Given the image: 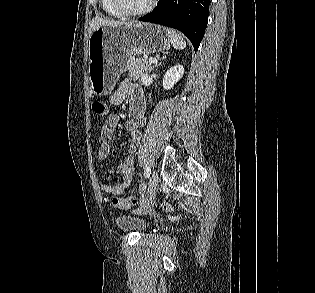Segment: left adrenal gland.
Instances as JSON below:
<instances>
[{
	"label": "left adrenal gland",
	"mask_w": 315,
	"mask_h": 293,
	"mask_svg": "<svg viewBox=\"0 0 315 293\" xmlns=\"http://www.w3.org/2000/svg\"><path fill=\"white\" fill-rule=\"evenodd\" d=\"M158 66V64H155V65H153V66H151L150 68H149V72H151L155 67H157Z\"/></svg>",
	"instance_id": "left-adrenal-gland-1"
}]
</instances>
